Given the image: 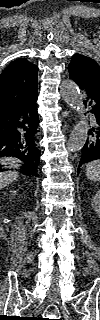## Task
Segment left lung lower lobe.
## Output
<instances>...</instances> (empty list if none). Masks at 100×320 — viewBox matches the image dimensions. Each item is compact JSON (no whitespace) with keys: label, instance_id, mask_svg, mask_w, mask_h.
<instances>
[{"label":"left lung lower lobe","instance_id":"obj_1","mask_svg":"<svg viewBox=\"0 0 100 320\" xmlns=\"http://www.w3.org/2000/svg\"><path fill=\"white\" fill-rule=\"evenodd\" d=\"M78 84V83H77ZM83 94L87 96L85 105L92 106V113L94 114L86 143L82 149L79 166L84 163L100 159V97L90 93L83 86L78 84Z\"/></svg>","mask_w":100,"mask_h":320}]
</instances>
